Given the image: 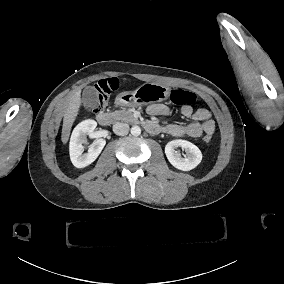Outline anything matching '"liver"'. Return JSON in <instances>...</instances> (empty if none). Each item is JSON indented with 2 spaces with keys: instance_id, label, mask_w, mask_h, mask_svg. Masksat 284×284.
I'll list each match as a JSON object with an SVG mask.
<instances>
[{
  "instance_id": "6515ba94",
  "label": "liver",
  "mask_w": 284,
  "mask_h": 284,
  "mask_svg": "<svg viewBox=\"0 0 284 284\" xmlns=\"http://www.w3.org/2000/svg\"><path fill=\"white\" fill-rule=\"evenodd\" d=\"M82 89L73 92L65 102V113L63 118V126L61 132V141L63 145H67L70 139L71 129L78 117L80 108L83 104L81 97Z\"/></svg>"
}]
</instances>
